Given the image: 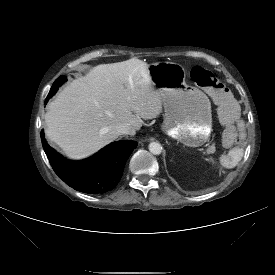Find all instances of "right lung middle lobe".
I'll list each match as a JSON object with an SVG mask.
<instances>
[{
  "label": "right lung middle lobe",
  "instance_id": "right-lung-middle-lobe-1",
  "mask_svg": "<svg viewBox=\"0 0 275 275\" xmlns=\"http://www.w3.org/2000/svg\"><path fill=\"white\" fill-rule=\"evenodd\" d=\"M66 81L65 76H60L56 81L53 83L50 92L47 96L46 102L56 93L57 89L59 88L60 85H62ZM45 102V103H46Z\"/></svg>",
  "mask_w": 275,
  "mask_h": 275
}]
</instances>
